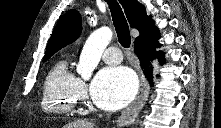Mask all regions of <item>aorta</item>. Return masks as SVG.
<instances>
[{"label":"aorta","instance_id":"obj_1","mask_svg":"<svg viewBox=\"0 0 221 128\" xmlns=\"http://www.w3.org/2000/svg\"><path fill=\"white\" fill-rule=\"evenodd\" d=\"M112 36L113 32L109 27H101L88 37L77 65V73L84 80H88L92 76Z\"/></svg>","mask_w":221,"mask_h":128}]
</instances>
